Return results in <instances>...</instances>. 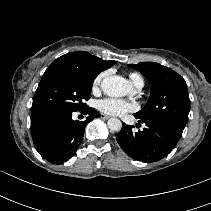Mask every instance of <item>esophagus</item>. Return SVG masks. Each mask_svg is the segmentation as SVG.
Returning a JSON list of instances; mask_svg holds the SVG:
<instances>
[{
  "instance_id": "34e87169",
  "label": "esophagus",
  "mask_w": 211,
  "mask_h": 211,
  "mask_svg": "<svg viewBox=\"0 0 211 211\" xmlns=\"http://www.w3.org/2000/svg\"><path fill=\"white\" fill-rule=\"evenodd\" d=\"M101 118H103V119H109L110 116L109 115H106V114H101Z\"/></svg>"
}]
</instances>
